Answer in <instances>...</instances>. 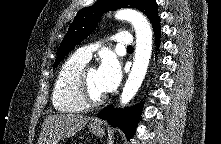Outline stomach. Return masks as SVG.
<instances>
[{"instance_id":"0dacf381","label":"stomach","mask_w":221,"mask_h":144,"mask_svg":"<svg viewBox=\"0 0 221 144\" xmlns=\"http://www.w3.org/2000/svg\"><path fill=\"white\" fill-rule=\"evenodd\" d=\"M89 130L98 137L105 135V128L100 123H90Z\"/></svg>"}]
</instances>
